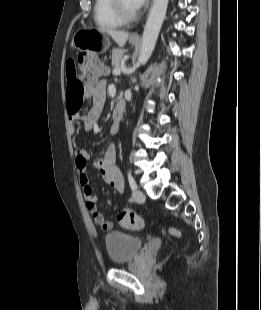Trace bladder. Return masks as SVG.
Returning a JSON list of instances; mask_svg holds the SVG:
<instances>
[{"mask_svg": "<svg viewBox=\"0 0 261 310\" xmlns=\"http://www.w3.org/2000/svg\"><path fill=\"white\" fill-rule=\"evenodd\" d=\"M104 241L108 256L113 264H122L132 260L144 247L141 237L120 231L108 233Z\"/></svg>", "mask_w": 261, "mask_h": 310, "instance_id": "obj_1", "label": "bladder"}]
</instances>
